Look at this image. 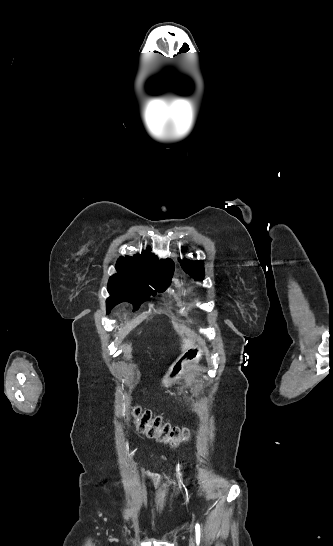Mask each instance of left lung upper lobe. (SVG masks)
<instances>
[{
  "label": "left lung upper lobe",
  "mask_w": 333,
  "mask_h": 546,
  "mask_svg": "<svg viewBox=\"0 0 333 546\" xmlns=\"http://www.w3.org/2000/svg\"><path fill=\"white\" fill-rule=\"evenodd\" d=\"M184 271L191 275L195 280H203L204 263L202 260L189 261L187 259L179 260Z\"/></svg>",
  "instance_id": "5c2ea615"
}]
</instances>
